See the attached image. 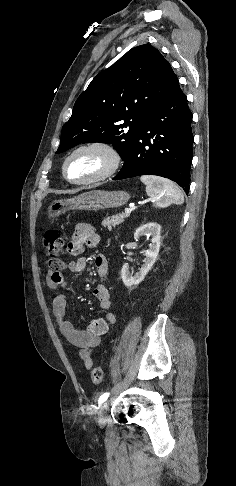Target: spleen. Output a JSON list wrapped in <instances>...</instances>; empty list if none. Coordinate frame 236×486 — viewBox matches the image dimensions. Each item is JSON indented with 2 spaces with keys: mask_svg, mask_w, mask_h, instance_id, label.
Wrapping results in <instances>:
<instances>
[{
  "mask_svg": "<svg viewBox=\"0 0 236 486\" xmlns=\"http://www.w3.org/2000/svg\"><path fill=\"white\" fill-rule=\"evenodd\" d=\"M140 180L146 185V193L155 207L183 204V193L172 181L152 175H143Z\"/></svg>",
  "mask_w": 236,
  "mask_h": 486,
  "instance_id": "obj_1",
  "label": "spleen"
}]
</instances>
